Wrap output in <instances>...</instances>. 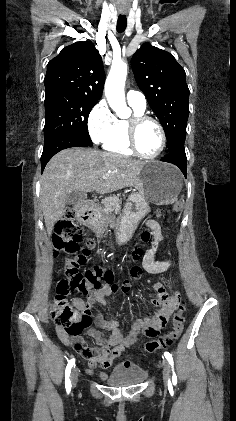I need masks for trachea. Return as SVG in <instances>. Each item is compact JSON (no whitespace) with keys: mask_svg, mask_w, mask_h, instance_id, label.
<instances>
[{"mask_svg":"<svg viewBox=\"0 0 236 421\" xmlns=\"http://www.w3.org/2000/svg\"><path fill=\"white\" fill-rule=\"evenodd\" d=\"M127 26V18L126 16H119L117 20V31L118 33H123Z\"/></svg>","mask_w":236,"mask_h":421,"instance_id":"1","label":"trachea"}]
</instances>
